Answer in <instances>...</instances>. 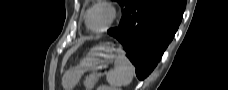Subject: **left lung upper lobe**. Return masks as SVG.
<instances>
[{"label": "left lung upper lobe", "instance_id": "obj_1", "mask_svg": "<svg viewBox=\"0 0 228 90\" xmlns=\"http://www.w3.org/2000/svg\"><path fill=\"white\" fill-rule=\"evenodd\" d=\"M116 1L120 4L121 8L123 9L129 0H116Z\"/></svg>", "mask_w": 228, "mask_h": 90}]
</instances>
